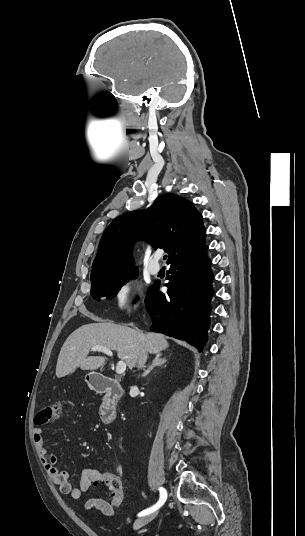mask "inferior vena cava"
Returning <instances> with one entry per match:
<instances>
[{
  "mask_svg": "<svg viewBox=\"0 0 305 536\" xmlns=\"http://www.w3.org/2000/svg\"><path fill=\"white\" fill-rule=\"evenodd\" d=\"M146 360H147V354H146L145 350H142V352H141V354H140V356L138 358V362H137L138 368H143Z\"/></svg>",
  "mask_w": 305,
  "mask_h": 536,
  "instance_id": "obj_1",
  "label": "inferior vena cava"
}]
</instances>
